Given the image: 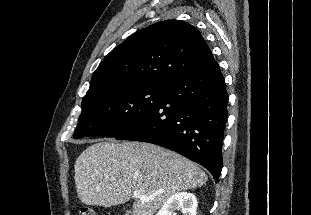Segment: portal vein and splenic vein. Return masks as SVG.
I'll list each match as a JSON object with an SVG mask.
<instances>
[{
    "label": "portal vein and splenic vein",
    "instance_id": "18ae733b",
    "mask_svg": "<svg viewBox=\"0 0 311 215\" xmlns=\"http://www.w3.org/2000/svg\"><path fill=\"white\" fill-rule=\"evenodd\" d=\"M133 196L135 198H140L142 201H149L151 199V197L145 196L141 194L140 191H137V190L133 192Z\"/></svg>",
    "mask_w": 311,
    "mask_h": 215
}]
</instances>
